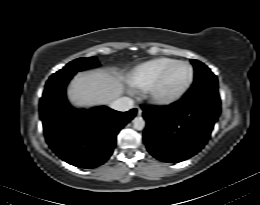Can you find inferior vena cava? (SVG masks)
<instances>
[{
  "label": "inferior vena cava",
  "mask_w": 260,
  "mask_h": 205,
  "mask_svg": "<svg viewBox=\"0 0 260 205\" xmlns=\"http://www.w3.org/2000/svg\"><path fill=\"white\" fill-rule=\"evenodd\" d=\"M134 106V101L129 97H121L114 100L110 107L117 111H128Z\"/></svg>",
  "instance_id": "obj_1"
}]
</instances>
